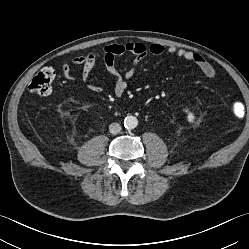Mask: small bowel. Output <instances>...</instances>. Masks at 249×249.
<instances>
[{"label": "small bowel", "instance_id": "1", "mask_svg": "<svg viewBox=\"0 0 249 249\" xmlns=\"http://www.w3.org/2000/svg\"><path fill=\"white\" fill-rule=\"evenodd\" d=\"M161 56L168 54L180 59L193 62L209 79L216 78L214 67L202 55L175 46L165 47L162 44H152L146 48L144 44L138 42H128L123 44H108L100 50H95L83 56L76 57L73 62L81 65V80L89 90L95 93L102 91V88L90 81V74L98 59H103L107 72L113 80V92L116 97L124 94L133 78L136 65L148 54ZM123 55H133L132 65L125 71L120 72L116 67V59ZM63 76L69 80H74V74L70 63H64L61 67ZM181 81H177L179 84Z\"/></svg>", "mask_w": 249, "mask_h": 249}]
</instances>
